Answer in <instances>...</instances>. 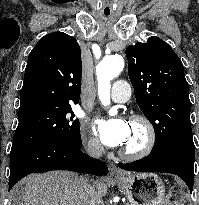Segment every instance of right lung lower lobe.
I'll return each mask as SVG.
<instances>
[{"label":"right lung lower lobe","mask_w":199,"mask_h":205,"mask_svg":"<svg viewBox=\"0 0 199 205\" xmlns=\"http://www.w3.org/2000/svg\"><path fill=\"white\" fill-rule=\"evenodd\" d=\"M81 148L82 142L75 146L65 142H53L10 156L9 190L30 173L70 170L98 176L108 174L104 162L84 154Z\"/></svg>","instance_id":"obj_1"}]
</instances>
